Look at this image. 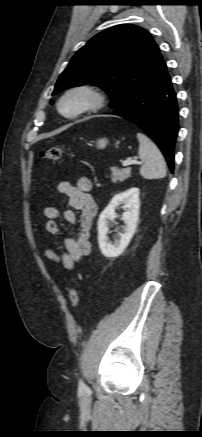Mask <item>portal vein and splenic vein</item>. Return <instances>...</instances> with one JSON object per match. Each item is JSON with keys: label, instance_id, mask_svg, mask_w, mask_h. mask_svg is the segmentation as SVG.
Here are the masks:
<instances>
[{"label": "portal vein and splenic vein", "instance_id": "1", "mask_svg": "<svg viewBox=\"0 0 202 437\" xmlns=\"http://www.w3.org/2000/svg\"><path fill=\"white\" fill-rule=\"evenodd\" d=\"M133 164L141 165L142 162L141 161H136V160H126V161H123V163H122V165L124 167H128V166L133 165Z\"/></svg>", "mask_w": 202, "mask_h": 437}]
</instances>
